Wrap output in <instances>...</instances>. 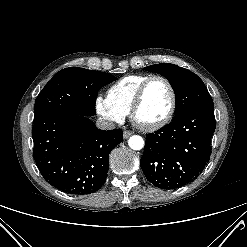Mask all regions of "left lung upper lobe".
I'll use <instances>...</instances> for the list:
<instances>
[{
  "label": "left lung upper lobe",
  "mask_w": 247,
  "mask_h": 247,
  "mask_svg": "<svg viewBox=\"0 0 247 247\" xmlns=\"http://www.w3.org/2000/svg\"><path fill=\"white\" fill-rule=\"evenodd\" d=\"M166 77L176 93V112L173 119L194 110H213L212 98L203 81L193 72L170 63L145 67Z\"/></svg>",
  "instance_id": "obj_1"
}]
</instances>
